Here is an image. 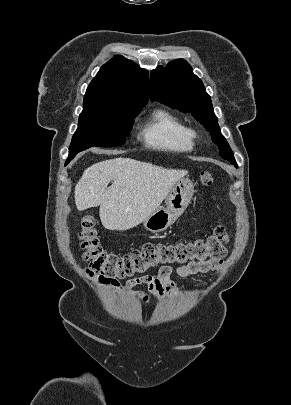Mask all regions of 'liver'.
<instances>
[{
	"mask_svg": "<svg viewBox=\"0 0 291 405\" xmlns=\"http://www.w3.org/2000/svg\"><path fill=\"white\" fill-rule=\"evenodd\" d=\"M186 170L165 169L130 158H115L88 167L75 186L79 211L100 206L99 216L109 230H128L161 205ZM110 181L112 185L107 188Z\"/></svg>",
	"mask_w": 291,
	"mask_h": 405,
	"instance_id": "obj_1",
	"label": "liver"
}]
</instances>
